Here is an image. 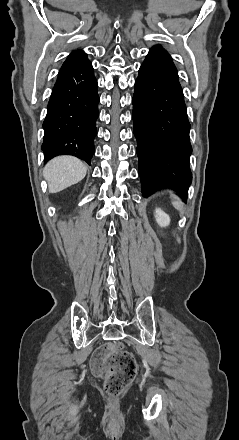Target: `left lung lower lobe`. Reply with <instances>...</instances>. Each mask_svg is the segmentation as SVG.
Instances as JSON below:
<instances>
[{"instance_id":"0a47b994","label":"left lung lower lobe","mask_w":239,"mask_h":440,"mask_svg":"<svg viewBox=\"0 0 239 440\" xmlns=\"http://www.w3.org/2000/svg\"><path fill=\"white\" fill-rule=\"evenodd\" d=\"M132 118L143 196L167 183L186 201L192 180L190 123L177 69L161 46L150 49L139 69Z\"/></svg>"}]
</instances>
